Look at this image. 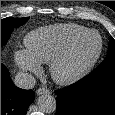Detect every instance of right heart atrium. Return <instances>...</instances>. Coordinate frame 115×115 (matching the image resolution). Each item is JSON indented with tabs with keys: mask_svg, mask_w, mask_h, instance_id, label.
I'll return each instance as SVG.
<instances>
[{
	"mask_svg": "<svg viewBox=\"0 0 115 115\" xmlns=\"http://www.w3.org/2000/svg\"><path fill=\"white\" fill-rule=\"evenodd\" d=\"M15 62L23 71L38 74L40 72L39 63L25 49H19L14 54Z\"/></svg>",
	"mask_w": 115,
	"mask_h": 115,
	"instance_id": "1",
	"label": "right heart atrium"
}]
</instances>
